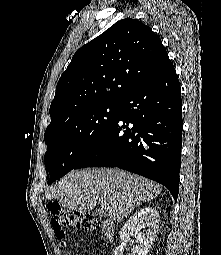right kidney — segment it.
I'll use <instances>...</instances> for the list:
<instances>
[{"label": "right kidney", "mask_w": 221, "mask_h": 255, "mask_svg": "<svg viewBox=\"0 0 221 255\" xmlns=\"http://www.w3.org/2000/svg\"><path fill=\"white\" fill-rule=\"evenodd\" d=\"M159 227V213L152 207H143L135 212L124 224L120 232L122 245L114 250V255H124V245L135 237L137 245L133 247L131 255H147L156 237ZM143 232H141V230Z\"/></svg>", "instance_id": "obj_1"}]
</instances>
